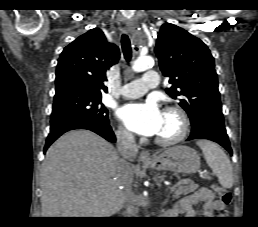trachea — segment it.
Wrapping results in <instances>:
<instances>
[{"label": "trachea", "instance_id": "trachea-1", "mask_svg": "<svg viewBox=\"0 0 258 227\" xmlns=\"http://www.w3.org/2000/svg\"><path fill=\"white\" fill-rule=\"evenodd\" d=\"M122 51L126 61H130L132 57L131 42L127 35L123 34L121 37Z\"/></svg>", "mask_w": 258, "mask_h": 227}]
</instances>
